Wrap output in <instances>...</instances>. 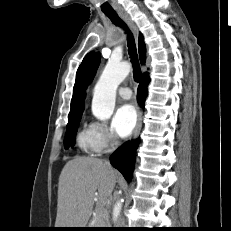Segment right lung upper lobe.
<instances>
[{"mask_svg":"<svg viewBox=\"0 0 231 231\" xmlns=\"http://www.w3.org/2000/svg\"><path fill=\"white\" fill-rule=\"evenodd\" d=\"M93 56V52L87 54V56L83 59L81 65L79 66L76 73V81L73 88V96L71 99V110L68 115L69 117L76 116L82 114L84 108V99H85V87H86V78L87 71L89 68L90 60ZM139 57L141 64H144L146 59V47L144 44L143 35L139 34ZM149 76L147 73L142 75V78Z\"/></svg>","mask_w":231,"mask_h":231,"instance_id":"right-lung-upper-lobe-1","label":"right lung upper lobe"}]
</instances>
